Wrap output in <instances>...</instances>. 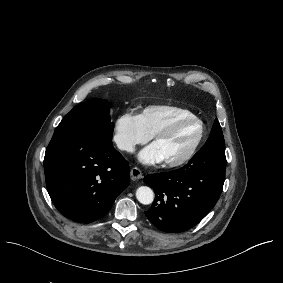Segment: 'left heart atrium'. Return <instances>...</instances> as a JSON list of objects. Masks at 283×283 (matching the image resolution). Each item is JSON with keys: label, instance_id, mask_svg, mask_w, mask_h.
<instances>
[{"label": "left heart atrium", "instance_id": "39dd6f15", "mask_svg": "<svg viewBox=\"0 0 283 283\" xmlns=\"http://www.w3.org/2000/svg\"><path fill=\"white\" fill-rule=\"evenodd\" d=\"M137 158L141 164L147 166L156 165L165 161L164 154L157 141H154L142 148L139 151Z\"/></svg>", "mask_w": 283, "mask_h": 283}]
</instances>
